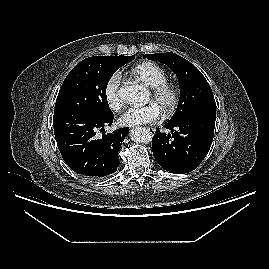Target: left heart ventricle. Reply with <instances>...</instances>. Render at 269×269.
I'll return each mask as SVG.
<instances>
[{
	"label": "left heart ventricle",
	"mask_w": 269,
	"mask_h": 269,
	"mask_svg": "<svg viewBox=\"0 0 269 269\" xmlns=\"http://www.w3.org/2000/svg\"><path fill=\"white\" fill-rule=\"evenodd\" d=\"M150 99H151L152 101H154V102L158 105V107L161 109V111H162V109L164 108V106H165V104H166V102H167V100H168L167 97L164 98V99H162V100H154L152 96L150 97Z\"/></svg>",
	"instance_id": "1"
}]
</instances>
